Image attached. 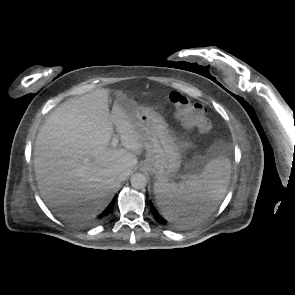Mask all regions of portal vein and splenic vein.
<instances>
[{
	"instance_id": "portal-vein-and-splenic-vein-1",
	"label": "portal vein and splenic vein",
	"mask_w": 295,
	"mask_h": 295,
	"mask_svg": "<svg viewBox=\"0 0 295 295\" xmlns=\"http://www.w3.org/2000/svg\"><path fill=\"white\" fill-rule=\"evenodd\" d=\"M118 141H119L118 138L114 137L111 142L112 147H116L118 145ZM84 162L85 163L89 162V158H85Z\"/></svg>"
}]
</instances>
